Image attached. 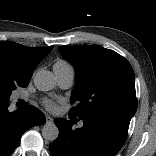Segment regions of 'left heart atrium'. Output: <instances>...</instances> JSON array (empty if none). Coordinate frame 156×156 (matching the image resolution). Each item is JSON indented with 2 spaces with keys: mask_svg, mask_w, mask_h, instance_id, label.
<instances>
[{
  "mask_svg": "<svg viewBox=\"0 0 156 156\" xmlns=\"http://www.w3.org/2000/svg\"><path fill=\"white\" fill-rule=\"evenodd\" d=\"M43 105L48 109V110H55L56 109V105L53 101L49 100V99H44L43 100Z\"/></svg>",
  "mask_w": 156,
  "mask_h": 156,
  "instance_id": "39dd6f15",
  "label": "left heart atrium"
}]
</instances>
